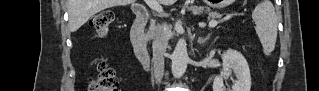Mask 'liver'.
Returning a JSON list of instances; mask_svg holds the SVG:
<instances>
[{
    "instance_id": "6515ba94",
    "label": "liver",
    "mask_w": 319,
    "mask_h": 91,
    "mask_svg": "<svg viewBox=\"0 0 319 91\" xmlns=\"http://www.w3.org/2000/svg\"><path fill=\"white\" fill-rule=\"evenodd\" d=\"M165 5H172L176 0H158ZM135 0H69V25L72 32L77 31L91 17L102 10L121 5H129Z\"/></svg>"
}]
</instances>
